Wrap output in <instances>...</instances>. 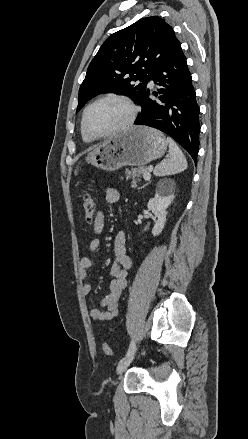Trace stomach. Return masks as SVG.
<instances>
[{
	"instance_id": "0dacf381",
	"label": "stomach",
	"mask_w": 248,
	"mask_h": 439,
	"mask_svg": "<svg viewBox=\"0 0 248 439\" xmlns=\"http://www.w3.org/2000/svg\"><path fill=\"white\" fill-rule=\"evenodd\" d=\"M167 145L168 141L160 131L135 126L96 145L85 159L99 169L115 171L126 165H146L162 157Z\"/></svg>"
}]
</instances>
